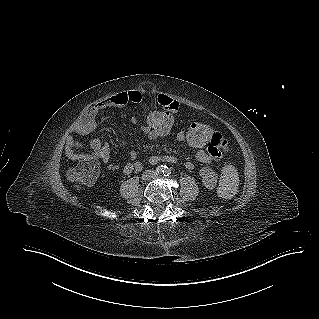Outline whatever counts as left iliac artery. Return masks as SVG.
<instances>
[{
	"mask_svg": "<svg viewBox=\"0 0 319 319\" xmlns=\"http://www.w3.org/2000/svg\"><path fill=\"white\" fill-rule=\"evenodd\" d=\"M163 174H164V176L168 177L171 174V170L168 167H166V169H165Z\"/></svg>",
	"mask_w": 319,
	"mask_h": 319,
	"instance_id": "44dca946",
	"label": "left iliac artery"
}]
</instances>
